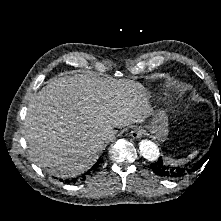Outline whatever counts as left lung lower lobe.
Instances as JSON below:
<instances>
[{
  "instance_id": "obj_1",
  "label": "left lung lower lobe",
  "mask_w": 221,
  "mask_h": 221,
  "mask_svg": "<svg viewBox=\"0 0 221 221\" xmlns=\"http://www.w3.org/2000/svg\"><path fill=\"white\" fill-rule=\"evenodd\" d=\"M206 157L207 154L196 163L188 164L185 166H177V167L174 165H170L162 158H159L155 163L151 165V168L153 172L158 176L171 178V179L180 178L187 174H190L193 171H196L205 161Z\"/></svg>"
}]
</instances>
